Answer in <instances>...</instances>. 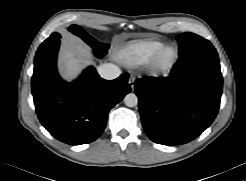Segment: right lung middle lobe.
I'll list each match as a JSON object with an SVG mask.
<instances>
[{"label":"right lung middle lobe","instance_id":"dd1d6c3e","mask_svg":"<svg viewBox=\"0 0 246 181\" xmlns=\"http://www.w3.org/2000/svg\"><path fill=\"white\" fill-rule=\"evenodd\" d=\"M69 31H71L72 33L78 35L79 37H81L88 45H90L93 50L95 51V54L98 56H103L107 53V49L109 48V44H104V43H100L98 42L96 39H94L93 37H91L84 29H82L80 26L78 25H71L69 28ZM60 34L57 32H54L51 34V36L49 38H47L41 45L39 48H43L46 47L50 44H52L53 42H55L56 40L60 39Z\"/></svg>","mask_w":246,"mask_h":181}]
</instances>
